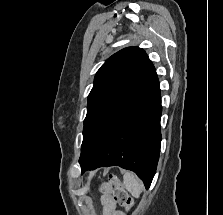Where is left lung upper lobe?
<instances>
[{
	"label": "left lung upper lobe",
	"instance_id": "left-lung-upper-lobe-1",
	"mask_svg": "<svg viewBox=\"0 0 223 215\" xmlns=\"http://www.w3.org/2000/svg\"><path fill=\"white\" fill-rule=\"evenodd\" d=\"M156 78L152 62L138 47L122 49L100 67L88 96L79 159L81 166L92 159L111 129Z\"/></svg>",
	"mask_w": 223,
	"mask_h": 215
}]
</instances>
